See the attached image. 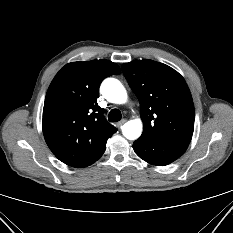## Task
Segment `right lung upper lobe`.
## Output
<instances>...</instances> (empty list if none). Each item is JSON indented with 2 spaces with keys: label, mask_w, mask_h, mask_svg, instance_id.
Segmentation results:
<instances>
[{
  "label": "right lung upper lobe",
  "mask_w": 233,
  "mask_h": 233,
  "mask_svg": "<svg viewBox=\"0 0 233 233\" xmlns=\"http://www.w3.org/2000/svg\"><path fill=\"white\" fill-rule=\"evenodd\" d=\"M113 74H120V69L108 60L72 62L51 82L43 109V134L63 163L77 168L93 164L117 131L97 104L101 82Z\"/></svg>",
  "instance_id": "obj_1"
}]
</instances>
